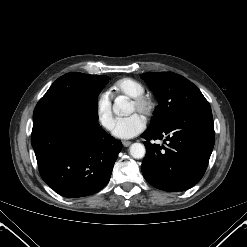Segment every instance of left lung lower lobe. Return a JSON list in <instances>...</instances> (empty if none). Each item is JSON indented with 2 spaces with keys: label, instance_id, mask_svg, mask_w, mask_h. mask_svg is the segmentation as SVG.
<instances>
[{
  "label": "left lung lower lobe",
  "instance_id": "left-lung-lower-lobe-1",
  "mask_svg": "<svg viewBox=\"0 0 247 247\" xmlns=\"http://www.w3.org/2000/svg\"><path fill=\"white\" fill-rule=\"evenodd\" d=\"M142 137L147 140L141 166L144 178L161 190L185 191L200 181L213 150L211 108H197L161 127L148 128ZM163 138L165 146L150 143Z\"/></svg>",
  "mask_w": 247,
  "mask_h": 247
}]
</instances>
